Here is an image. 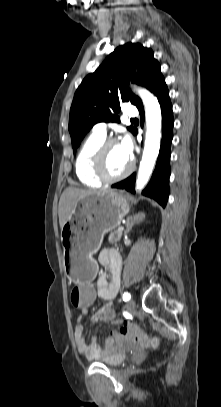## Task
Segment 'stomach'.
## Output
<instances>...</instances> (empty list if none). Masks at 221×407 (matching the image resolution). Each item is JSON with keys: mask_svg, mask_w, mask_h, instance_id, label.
I'll use <instances>...</instances> for the list:
<instances>
[{"mask_svg": "<svg viewBox=\"0 0 221 407\" xmlns=\"http://www.w3.org/2000/svg\"><path fill=\"white\" fill-rule=\"evenodd\" d=\"M129 212L126 197L112 189L81 197L61 229L63 263L73 283H87L97 273L93 255L106 233L118 227Z\"/></svg>", "mask_w": 221, "mask_h": 407, "instance_id": "0dacf381", "label": "stomach"}]
</instances>
